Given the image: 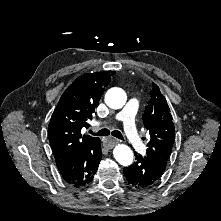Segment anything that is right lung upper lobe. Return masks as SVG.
Masks as SVG:
<instances>
[{
    "instance_id": "cb5924a9",
    "label": "right lung upper lobe",
    "mask_w": 221,
    "mask_h": 221,
    "mask_svg": "<svg viewBox=\"0 0 221 221\" xmlns=\"http://www.w3.org/2000/svg\"><path fill=\"white\" fill-rule=\"evenodd\" d=\"M114 71L89 73L78 77L62 94L49 123L48 134L57 168L99 138L82 134L111 81Z\"/></svg>"
}]
</instances>
